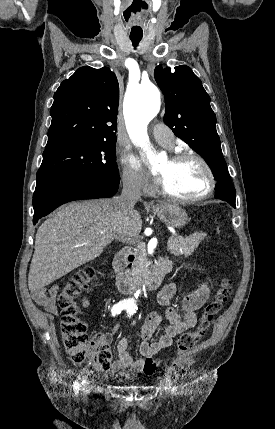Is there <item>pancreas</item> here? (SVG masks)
Returning <instances> with one entry per match:
<instances>
[{
    "label": "pancreas",
    "mask_w": 275,
    "mask_h": 429,
    "mask_svg": "<svg viewBox=\"0 0 275 429\" xmlns=\"http://www.w3.org/2000/svg\"><path fill=\"white\" fill-rule=\"evenodd\" d=\"M206 237L205 233L195 232L187 237L173 236L172 245L168 247V251L174 256L190 255ZM136 266L132 270V274L136 275L141 270L148 267V260L145 247L140 244V247L135 251Z\"/></svg>",
    "instance_id": "pancreas-1"
}]
</instances>
